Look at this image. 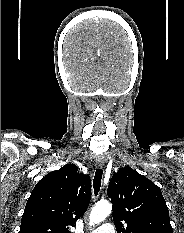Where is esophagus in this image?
I'll return each mask as SVG.
<instances>
[{
	"label": "esophagus",
	"mask_w": 184,
	"mask_h": 233,
	"mask_svg": "<svg viewBox=\"0 0 184 233\" xmlns=\"http://www.w3.org/2000/svg\"><path fill=\"white\" fill-rule=\"evenodd\" d=\"M96 165H97L98 167H103V165H104V160H103L102 158H97V159H96Z\"/></svg>",
	"instance_id": "1"
}]
</instances>
